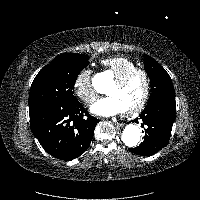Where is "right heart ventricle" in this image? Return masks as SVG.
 <instances>
[{
    "instance_id": "obj_1",
    "label": "right heart ventricle",
    "mask_w": 200,
    "mask_h": 200,
    "mask_svg": "<svg viewBox=\"0 0 200 200\" xmlns=\"http://www.w3.org/2000/svg\"><path fill=\"white\" fill-rule=\"evenodd\" d=\"M101 66L116 80L125 73L137 69V64L126 56L109 57L101 61Z\"/></svg>"
}]
</instances>
